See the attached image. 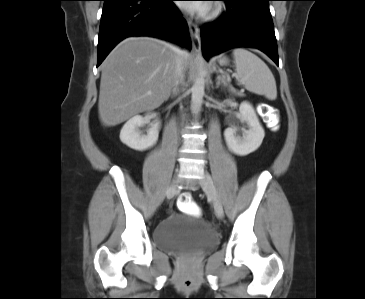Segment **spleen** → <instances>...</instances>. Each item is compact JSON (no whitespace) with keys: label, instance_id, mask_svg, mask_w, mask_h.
<instances>
[{"label":"spleen","instance_id":"spleen-1","mask_svg":"<svg viewBox=\"0 0 365 299\" xmlns=\"http://www.w3.org/2000/svg\"><path fill=\"white\" fill-rule=\"evenodd\" d=\"M233 57L238 81L248 91L275 100L277 97L276 82L266 63L244 48L235 49Z\"/></svg>","mask_w":365,"mask_h":299}]
</instances>
